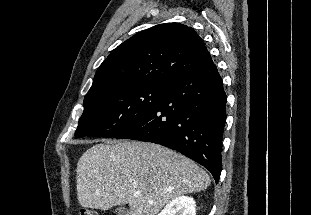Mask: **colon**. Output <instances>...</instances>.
Masks as SVG:
<instances>
[{
	"label": "colon",
	"mask_w": 311,
	"mask_h": 215,
	"mask_svg": "<svg viewBox=\"0 0 311 215\" xmlns=\"http://www.w3.org/2000/svg\"><path fill=\"white\" fill-rule=\"evenodd\" d=\"M79 215H96V213L90 209H82Z\"/></svg>",
	"instance_id": "1"
}]
</instances>
